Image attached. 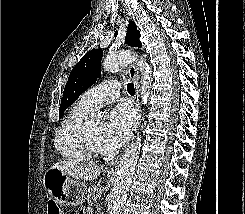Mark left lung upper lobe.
Listing matches in <instances>:
<instances>
[{
	"label": "left lung upper lobe",
	"instance_id": "5c2ea615",
	"mask_svg": "<svg viewBox=\"0 0 245 214\" xmlns=\"http://www.w3.org/2000/svg\"><path fill=\"white\" fill-rule=\"evenodd\" d=\"M140 32L133 21L129 22L126 34V43L130 46L140 47L142 44L139 41ZM103 52L101 49H94L87 52L79 63L72 69L69 79L65 85L63 97L61 99L59 118L63 112L72 105L76 99L101 75V59Z\"/></svg>",
	"mask_w": 245,
	"mask_h": 214
}]
</instances>
